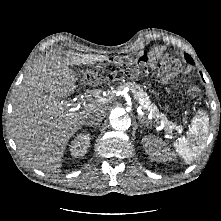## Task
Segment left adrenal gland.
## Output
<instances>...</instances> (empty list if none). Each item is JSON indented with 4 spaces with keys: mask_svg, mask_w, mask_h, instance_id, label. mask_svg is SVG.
Masks as SVG:
<instances>
[{
    "mask_svg": "<svg viewBox=\"0 0 221 221\" xmlns=\"http://www.w3.org/2000/svg\"><path fill=\"white\" fill-rule=\"evenodd\" d=\"M138 119H139V121H140L141 124L149 123V122H150V121H148V120H144V119H142L141 116H140Z\"/></svg>",
    "mask_w": 221,
    "mask_h": 221,
    "instance_id": "left-adrenal-gland-1",
    "label": "left adrenal gland"
}]
</instances>
